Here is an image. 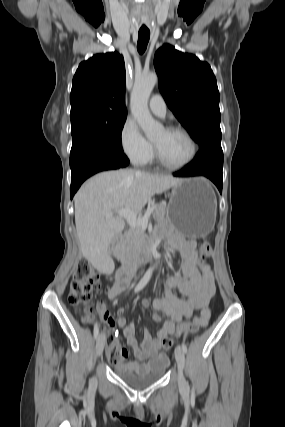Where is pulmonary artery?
Returning <instances> with one entry per match:
<instances>
[{
  "mask_svg": "<svg viewBox=\"0 0 285 427\" xmlns=\"http://www.w3.org/2000/svg\"><path fill=\"white\" fill-rule=\"evenodd\" d=\"M149 108L157 116L163 117L166 114V103L159 94H155L151 97Z\"/></svg>",
  "mask_w": 285,
  "mask_h": 427,
  "instance_id": "1",
  "label": "pulmonary artery"
}]
</instances>
